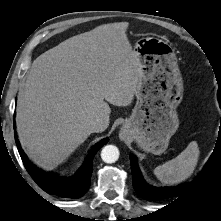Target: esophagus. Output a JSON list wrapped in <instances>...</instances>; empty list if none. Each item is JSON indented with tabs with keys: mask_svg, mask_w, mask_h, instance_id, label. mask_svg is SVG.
Listing matches in <instances>:
<instances>
[{
	"mask_svg": "<svg viewBox=\"0 0 221 221\" xmlns=\"http://www.w3.org/2000/svg\"><path fill=\"white\" fill-rule=\"evenodd\" d=\"M119 137H120L121 140H125L126 137H127L126 132L125 131H121L120 134H119Z\"/></svg>",
	"mask_w": 221,
	"mask_h": 221,
	"instance_id": "1",
	"label": "esophagus"
}]
</instances>
